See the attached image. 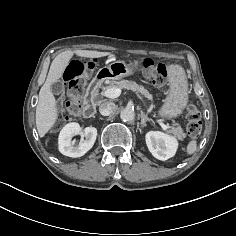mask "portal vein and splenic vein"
I'll return each instance as SVG.
<instances>
[{
  "instance_id": "obj_1",
  "label": "portal vein and splenic vein",
  "mask_w": 236,
  "mask_h": 236,
  "mask_svg": "<svg viewBox=\"0 0 236 236\" xmlns=\"http://www.w3.org/2000/svg\"><path fill=\"white\" fill-rule=\"evenodd\" d=\"M121 94V89L119 88H108L105 91L102 92V95L107 97V98H117ZM162 128L166 131L167 126L163 123H161Z\"/></svg>"
}]
</instances>
